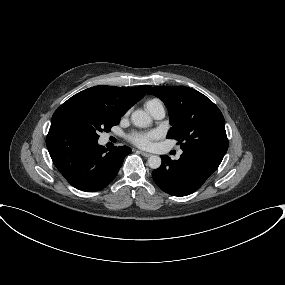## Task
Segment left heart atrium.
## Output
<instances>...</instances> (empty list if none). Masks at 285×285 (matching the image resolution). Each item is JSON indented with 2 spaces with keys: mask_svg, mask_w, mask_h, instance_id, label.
<instances>
[{
  "mask_svg": "<svg viewBox=\"0 0 285 285\" xmlns=\"http://www.w3.org/2000/svg\"><path fill=\"white\" fill-rule=\"evenodd\" d=\"M155 138V133H132L129 136L130 141L140 148H149Z\"/></svg>",
  "mask_w": 285,
  "mask_h": 285,
  "instance_id": "1",
  "label": "left heart atrium"
}]
</instances>
